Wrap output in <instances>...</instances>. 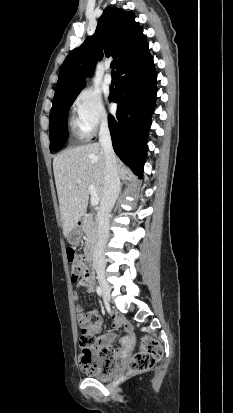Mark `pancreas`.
Returning a JSON list of instances; mask_svg holds the SVG:
<instances>
[{
	"label": "pancreas",
	"mask_w": 233,
	"mask_h": 413,
	"mask_svg": "<svg viewBox=\"0 0 233 413\" xmlns=\"http://www.w3.org/2000/svg\"><path fill=\"white\" fill-rule=\"evenodd\" d=\"M82 230L87 237V243L93 244L98 237V223L92 215L86 216L82 221Z\"/></svg>",
	"instance_id": "cf45deb5"
}]
</instances>
